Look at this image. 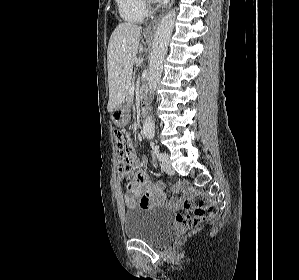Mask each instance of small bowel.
Masks as SVG:
<instances>
[{
    "instance_id": "c3829d8e",
    "label": "small bowel",
    "mask_w": 299,
    "mask_h": 280,
    "mask_svg": "<svg viewBox=\"0 0 299 280\" xmlns=\"http://www.w3.org/2000/svg\"><path fill=\"white\" fill-rule=\"evenodd\" d=\"M134 165L136 164V156L133 152ZM147 160L142 158L138 163V168L133 174V178L127 184V193L124 195V204L127 208L139 206L141 208H149L153 206H170L177 208L180 205L178 198L168 199L161 182L151 181L146 172L145 167ZM177 190V189H176Z\"/></svg>"
}]
</instances>
